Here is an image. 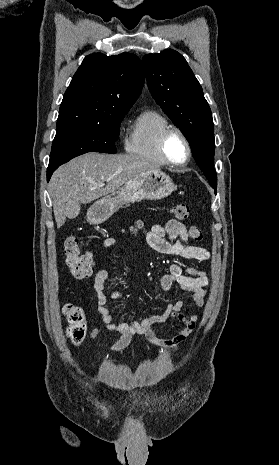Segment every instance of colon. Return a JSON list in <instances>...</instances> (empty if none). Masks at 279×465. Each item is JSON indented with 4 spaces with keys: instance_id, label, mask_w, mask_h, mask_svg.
Returning a JSON list of instances; mask_svg holds the SVG:
<instances>
[{
    "instance_id": "5ec220e1",
    "label": "colon",
    "mask_w": 279,
    "mask_h": 465,
    "mask_svg": "<svg viewBox=\"0 0 279 465\" xmlns=\"http://www.w3.org/2000/svg\"><path fill=\"white\" fill-rule=\"evenodd\" d=\"M177 220L185 221L189 218V206L176 204L172 209ZM189 237L194 241H202L203 233L197 226L188 227ZM65 263L71 275L77 279L88 277L93 270L94 260L91 253H82L79 240L69 237L64 244ZM64 315L68 323L67 336L74 344L80 343L86 333V317L83 309L77 305L68 304L64 307Z\"/></svg>"
}]
</instances>
